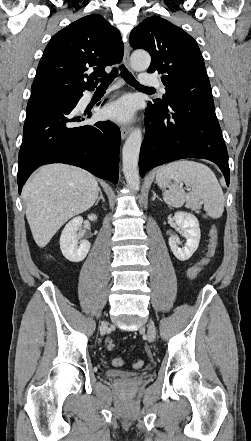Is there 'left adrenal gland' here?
I'll return each mask as SVG.
<instances>
[{
    "mask_svg": "<svg viewBox=\"0 0 251 441\" xmlns=\"http://www.w3.org/2000/svg\"><path fill=\"white\" fill-rule=\"evenodd\" d=\"M152 192H153L152 201H154L156 198H158L159 200H161V199L156 195L155 191H152Z\"/></svg>",
    "mask_w": 251,
    "mask_h": 441,
    "instance_id": "left-adrenal-gland-1",
    "label": "left adrenal gland"
}]
</instances>
